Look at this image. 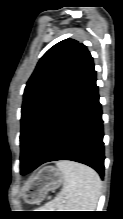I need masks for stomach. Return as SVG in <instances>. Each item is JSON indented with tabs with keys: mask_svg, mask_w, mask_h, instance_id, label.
<instances>
[{
	"mask_svg": "<svg viewBox=\"0 0 123 219\" xmlns=\"http://www.w3.org/2000/svg\"><path fill=\"white\" fill-rule=\"evenodd\" d=\"M64 181L63 173L54 166L41 168L30 181L26 189V201L40 203L49 191L57 189Z\"/></svg>",
	"mask_w": 123,
	"mask_h": 219,
	"instance_id": "1",
	"label": "stomach"
}]
</instances>
